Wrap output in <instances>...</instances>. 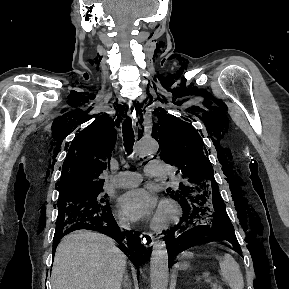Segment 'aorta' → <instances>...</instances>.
<instances>
[{"label": "aorta", "mask_w": 289, "mask_h": 289, "mask_svg": "<svg viewBox=\"0 0 289 289\" xmlns=\"http://www.w3.org/2000/svg\"><path fill=\"white\" fill-rule=\"evenodd\" d=\"M158 143L152 137H142L137 142L135 155L139 158L152 157L158 152ZM168 252L166 244L158 240L152 247L150 258L151 289H167L168 287Z\"/></svg>", "instance_id": "1"}]
</instances>
